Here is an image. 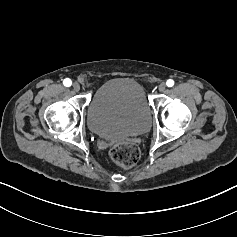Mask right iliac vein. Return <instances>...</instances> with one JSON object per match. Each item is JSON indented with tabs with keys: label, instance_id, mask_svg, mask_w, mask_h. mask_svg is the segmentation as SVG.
Wrapping results in <instances>:
<instances>
[{
	"label": "right iliac vein",
	"instance_id": "right-iliac-vein-1",
	"mask_svg": "<svg viewBox=\"0 0 237 237\" xmlns=\"http://www.w3.org/2000/svg\"><path fill=\"white\" fill-rule=\"evenodd\" d=\"M73 89H74V91H79L80 90V85L78 84V83H74L73 84Z\"/></svg>",
	"mask_w": 237,
	"mask_h": 237
}]
</instances>
